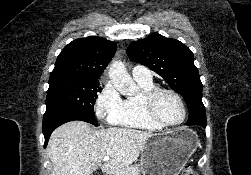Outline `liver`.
<instances>
[{"mask_svg":"<svg viewBox=\"0 0 251 175\" xmlns=\"http://www.w3.org/2000/svg\"><path fill=\"white\" fill-rule=\"evenodd\" d=\"M151 131L105 127L94 131L86 121H68L50 135L47 155L53 163L52 175H90L101 167L106 173L129 167ZM104 155L109 161L103 163Z\"/></svg>","mask_w":251,"mask_h":175,"instance_id":"obj_1","label":"liver"}]
</instances>
